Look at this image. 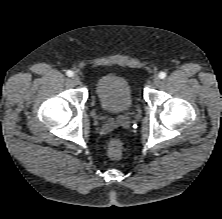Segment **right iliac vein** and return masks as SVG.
<instances>
[{
  "mask_svg": "<svg viewBox=\"0 0 222 219\" xmlns=\"http://www.w3.org/2000/svg\"><path fill=\"white\" fill-rule=\"evenodd\" d=\"M72 82L75 85H78L80 83V77L78 75H73Z\"/></svg>",
  "mask_w": 222,
  "mask_h": 219,
  "instance_id": "right-iliac-vein-1",
  "label": "right iliac vein"
}]
</instances>
